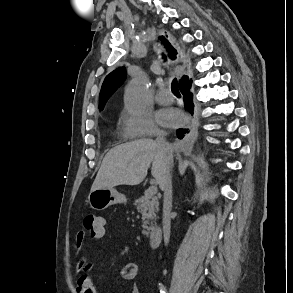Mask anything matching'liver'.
Returning <instances> with one entry per match:
<instances>
[{
	"instance_id": "liver-1",
	"label": "liver",
	"mask_w": 293,
	"mask_h": 293,
	"mask_svg": "<svg viewBox=\"0 0 293 293\" xmlns=\"http://www.w3.org/2000/svg\"><path fill=\"white\" fill-rule=\"evenodd\" d=\"M173 155V154H172ZM151 173L160 184L166 170V155L151 139H142L112 148L104 157L91 191L119 185H138Z\"/></svg>"
}]
</instances>
